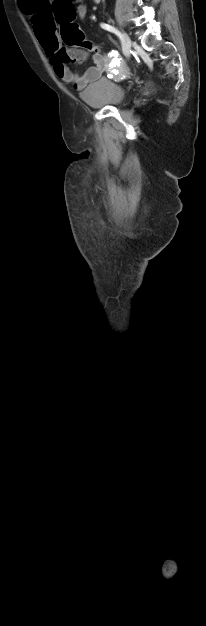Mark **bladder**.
Returning <instances> with one entry per match:
<instances>
[{
	"label": "bladder",
	"instance_id": "1",
	"mask_svg": "<svg viewBox=\"0 0 206 626\" xmlns=\"http://www.w3.org/2000/svg\"><path fill=\"white\" fill-rule=\"evenodd\" d=\"M125 96L121 85L105 77L88 84L80 94L82 101L91 107L117 106Z\"/></svg>",
	"mask_w": 206,
	"mask_h": 626
}]
</instances>
